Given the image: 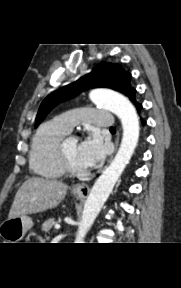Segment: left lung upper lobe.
<instances>
[{"instance_id": "5c2ea615", "label": "left lung upper lobe", "mask_w": 181, "mask_h": 288, "mask_svg": "<svg viewBox=\"0 0 181 288\" xmlns=\"http://www.w3.org/2000/svg\"><path fill=\"white\" fill-rule=\"evenodd\" d=\"M130 78L131 74L122 69L119 64L107 62L98 64L89 74L47 96L40 105L35 127L43 121L48 112L58 103L89 88H111L131 98L136 90L130 86Z\"/></svg>"}]
</instances>
